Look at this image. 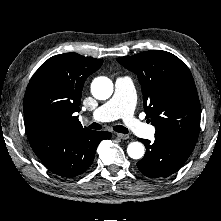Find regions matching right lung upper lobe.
Instances as JSON below:
<instances>
[{
	"label": "right lung upper lobe",
	"instance_id": "cb5924a9",
	"mask_svg": "<svg viewBox=\"0 0 221 221\" xmlns=\"http://www.w3.org/2000/svg\"><path fill=\"white\" fill-rule=\"evenodd\" d=\"M103 61L76 53L53 56L32 76L24 96L27 135L39 131L80 132L88 130L75 116L79 112L86 78Z\"/></svg>",
	"mask_w": 221,
	"mask_h": 221
}]
</instances>
